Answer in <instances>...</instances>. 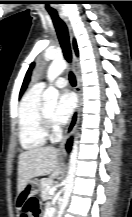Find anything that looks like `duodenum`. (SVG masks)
I'll return each mask as SVG.
<instances>
[{"instance_id":"duodenum-1","label":"duodenum","mask_w":132,"mask_h":217,"mask_svg":"<svg viewBox=\"0 0 132 217\" xmlns=\"http://www.w3.org/2000/svg\"><path fill=\"white\" fill-rule=\"evenodd\" d=\"M49 217H55L54 213H51V214L49 215Z\"/></svg>"}]
</instances>
